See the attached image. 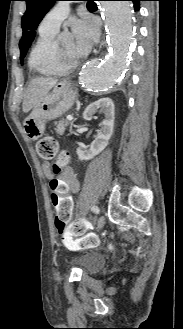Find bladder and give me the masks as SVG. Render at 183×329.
Listing matches in <instances>:
<instances>
[{"instance_id": "obj_1", "label": "bladder", "mask_w": 183, "mask_h": 329, "mask_svg": "<svg viewBox=\"0 0 183 329\" xmlns=\"http://www.w3.org/2000/svg\"><path fill=\"white\" fill-rule=\"evenodd\" d=\"M105 263V259L97 253H87L77 260V266L82 274L90 275L99 271Z\"/></svg>"}]
</instances>
